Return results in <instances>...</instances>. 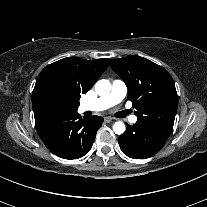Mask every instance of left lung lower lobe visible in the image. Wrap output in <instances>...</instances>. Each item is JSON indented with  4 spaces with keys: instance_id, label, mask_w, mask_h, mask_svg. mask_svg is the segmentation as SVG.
Here are the masks:
<instances>
[{
    "instance_id": "left-lung-lower-lobe-1",
    "label": "left lung lower lobe",
    "mask_w": 207,
    "mask_h": 207,
    "mask_svg": "<svg viewBox=\"0 0 207 207\" xmlns=\"http://www.w3.org/2000/svg\"><path fill=\"white\" fill-rule=\"evenodd\" d=\"M173 126L137 120L127 125V130L118 138L119 145L128 157L145 159L156 154L166 143Z\"/></svg>"
}]
</instances>
